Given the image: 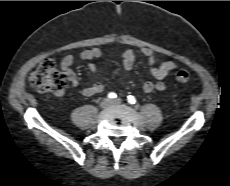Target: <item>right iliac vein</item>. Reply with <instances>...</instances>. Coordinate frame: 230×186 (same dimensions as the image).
Listing matches in <instances>:
<instances>
[{"label":"right iliac vein","mask_w":230,"mask_h":186,"mask_svg":"<svg viewBox=\"0 0 230 186\" xmlns=\"http://www.w3.org/2000/svg\"><path fill=\"white\" fill-rule=\"evenodd\" d=\"M111 105V101L108 98H105L101 101L100 106L101 108L105 109Z\"/></svg>","instance_id":"obj_1"}]
</instances>
